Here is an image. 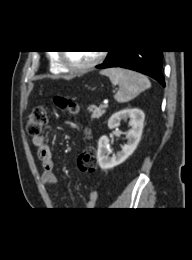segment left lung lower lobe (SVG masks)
I'll return each mask as SVG.
<instances>
[{"instance_id": "1", "label": "left lung lower lobe", "mask_w": 192, "mask_h": 260, "mask_svg": "<svg viewBox=\"0 0 192 260\" xmlns=\"http://www.w3.org/2000/svg\"><path fill=\"white\" fill-rule=\"evenodd\" d=\"M163 51L161 50H122L112 51L97 68L122 67L148 75L165 86L162 74Z\"/></svg>"}]
</instances>
